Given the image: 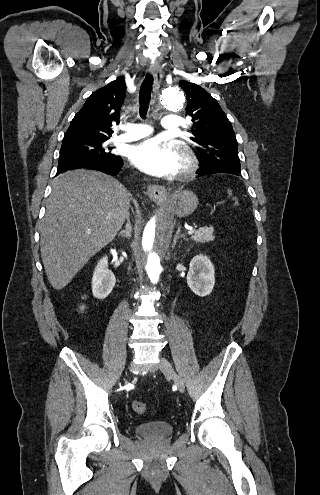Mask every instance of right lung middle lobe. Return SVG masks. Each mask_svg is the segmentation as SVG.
I'll list each match as a JSON object with an SVG mask.
<instances>
[{"instance_id":"obj_1","label":"right lung middle lobe","mask_w":320,"mask_h":495,"mask_svg":"<svg viewBox=\"0 0 320 495\" xmlns=\"http://www.w3.org/2000/svg\"><path fill=\"white\" fill-rule=\"evenodd\" d=\"M109 138L63 140L59 162L66 159H111L116 157L106 145Z\"/></svg>"}]
</instances>
